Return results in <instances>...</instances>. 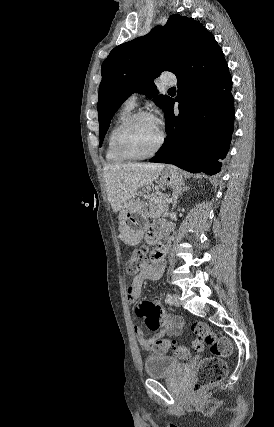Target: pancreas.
<instances>
[{
	"label": "pancreas",
	"instance_id": "obj_1",
	"mask_svg": "<svg viewBox=\"0 0 274 427\" xmlns=\"http://www.w3.org/2000/svg\"><path fill=\"white\" fill-rule=\"evenodd\" d=\"M148 204L150 217H167L169 210L167 196H150Z\"/></svg>",
	"mask_w": 274,
	"mask_h": 427
}]
</instances>
